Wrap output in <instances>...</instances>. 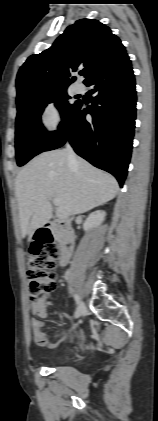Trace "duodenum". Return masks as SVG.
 <instances>
[{"label": "duodenum", "instance_id": "410a0bca", "mask_svg": "<svg viewBox=\"0 0 158 421\" xmlns=\"http://www.w3.org/2000/svg\"><path fill=\"white\" fill-rule=\"evenodd\" d=\"M52 230L57 231L59 235L61 245L59 264L63 266L69 261L74 250V230L66 219L57 218L45 224L40 231L46 234H50Z\"/></svg>", "mask_w": 158, "mask_h": 421}]
</instances>
